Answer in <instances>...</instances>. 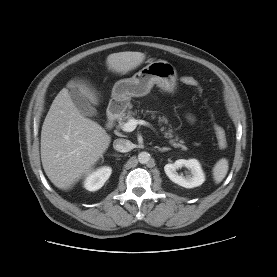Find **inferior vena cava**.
<instances>
[{"label":"inferior vena cava","instance_id":"602c4592","mask_svg":"<svg viewBox=\"0 0 277 277\" xmlns=\"http://www.w3.org/2000/svg\"><path fill=\"white\" fill-rule=\"evenodd\" d=\"M113 147L115 150L125 153L129 152L133 149L134 145L131 141L123 138H119L114 140L113 142Z\"/></svg>","mask_w":277,"mask_h":277}]
</instances>
